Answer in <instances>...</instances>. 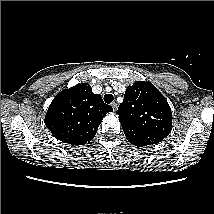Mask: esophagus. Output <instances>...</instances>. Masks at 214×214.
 Returning a JSON list of instances; mask_svg holds the SVG:
<instances>
[{
    "instance_id": "1",
    "label": "esophagus",
    "mask_w": 214,
    "mask_h": 214,
    "mask_svg": "<svg viewBox=\"0 0 214 214\" xmlns=\"http://www.w3.org/2000/svg\"><path fill=\"white\" fill-rule=\"evenodd\" d=\"M111 106H112L113 110L116 111V109H117V103L113 102L111 104Z\"/></svg>"
}]
</instances>
